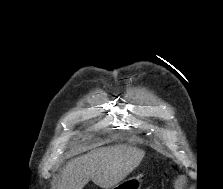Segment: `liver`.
<instances>
[{"label": "liver", "mask_w": 223, "mask_h": 189, "mask_svg": "<svg viewBox=\"0 0 223 189\" xmlns=\"http://www.w3.org/2000/svg\"><path fill=\"white\" fill-rule=\"evenodd\" d=\"M145 152L132 146H109L70 160L61 171L57 189H83L90 181L109 189L124 180Z\"/></svg>", "instance_id": "liver-1"}]
</instances>
